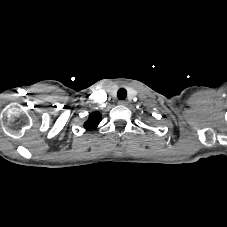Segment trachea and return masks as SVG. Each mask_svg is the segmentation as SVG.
I'll return each mask as SVG.
<instances>
[{"label":"trachea","instance_id":"1","mask_svg":"<svg viewBox=\"0 0 227 227\" xmlns=\"http://www.w3.org/2000/svg\"><path fill=\"white\" fill-rule=\"evenodd\" d=\"M117 97L119 100H124L127 97V91L124 88H120L117 92Z\"/></svg>","mask_w":227,"mask_h":227}]
</instances>
